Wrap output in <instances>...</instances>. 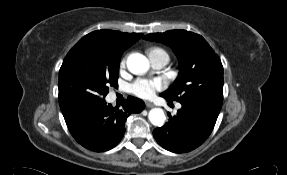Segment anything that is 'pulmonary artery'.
<instances>
[{
    "instance_id": "obj_1",
    "label": "pulmonary artery",
    "mask_w": 287,
    "mask_h": 175,
    "mask_svg": "<svg viewBox=\"0 0 287 175\" xmlns=\"http://www.w3.org/2000/svg\"><path fill=\"white\" fill-rule=\"evenodd\" d=\"M149 57L153 66L156 68H162L169 62V56L163 51L151 53ZM178 107H180V105H178Z\"/></svg>"
}]
</instances>
